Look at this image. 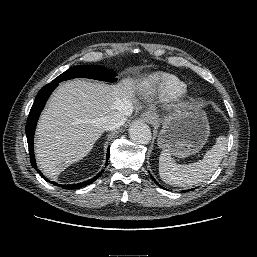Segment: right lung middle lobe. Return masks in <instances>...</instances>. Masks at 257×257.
<instances>
[{
	"instance_id": "right-lung-middle-lobe-1",
	"label": "right lung middle lobe",
	"mask_w": 257,
	"mask_h": 257,
	"mask_svg": "<svg viewBox=\"0 0 257 257\" xmlns=\"http://www.w3.org/2000/svg\"><path fill=\"white\" fill-rule=\"evenodd\" d=\"M116 73L108 68L100 67V66H75L53 80V82H61L64 80H69L72 78H90L101 81L115 82L117 78H115Z\"/></svg>"
}]
</instances>
